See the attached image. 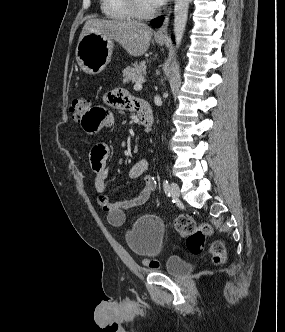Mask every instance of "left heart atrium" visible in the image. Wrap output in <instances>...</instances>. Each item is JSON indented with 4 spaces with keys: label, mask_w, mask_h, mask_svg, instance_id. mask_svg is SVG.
<instances>
[{
    "label": "left heart atrium",
    "mask_w": 285,
    "mask_h": 332,
    "mask_svg": "<svg viewBox=\"0 0 285 332\" xmlns=\"http://www.w3.org/2000/svg\"><path fill=\"white\" fill-rule=\"evenodd\" d=\"M149 1L154 8L160 7L166 2V0H149Z\"/></svg>",
    "instance_id": "39dd6f15"
}]
</instances>
